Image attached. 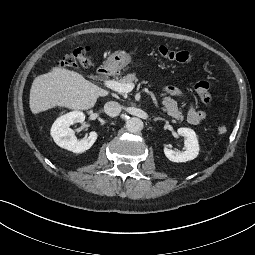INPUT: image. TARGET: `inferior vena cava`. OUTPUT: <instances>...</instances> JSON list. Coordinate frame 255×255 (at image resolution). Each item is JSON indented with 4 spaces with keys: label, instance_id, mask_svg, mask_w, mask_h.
<instances>
[{
    "label": "inferior vena cava",
    "instance_id": "obj_1",
    "mask_svg": "<svg viewBox=\"0 0 255 255\" xmlns=\"http://www.w3.org/2000/svg\"><path fill=\"white\" fill-rule=\"evenodd\" d=\"M121 110V105L116 101H109L104 105V112L110 117L118 116Z\"/></svg>",
    "mask_w": 255,
    "mask_h": 255
}]
</instances>
